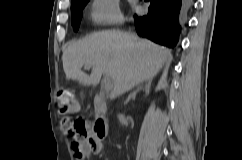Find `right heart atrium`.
Instances as JSON below:
<instances>
[{
    "label": "right heart atrium",
    "mask_w": 242,
    "mask_h": 160,
    "mask_svg": "<svg viewBox=\"0 0 242 160\" xmlns=\"http://www.w3.org/2000/svg\"><path fill=\"white\" fill-rule=\"evenodd\" d=\"M90 18L98 27L116 25L122 21L118 0H91Z\"/></svg>",
    "instance_id": "obj_1"
}]
</instances>
